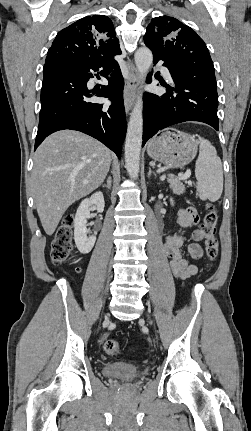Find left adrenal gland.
<instances>
[{"instance_id":"1","label":"left adrenal gland","mask_w":251,"mask_h":431,"mask_svg":"<svg viewBox=\"0 0 251 431\" xmlns=\"http://www.w3.org/2000/svg\"><path fill=\"white\" fill-rule=\"evenodd\" d=\"M152 173L156 176V173H154V172L152 171V169L149 167L148 177H150V175H151Z\"/></svg>"}]
</instances>
